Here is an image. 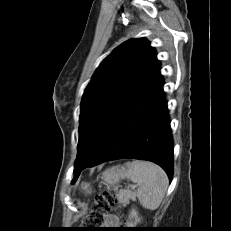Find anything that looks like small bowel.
I'll return each mask as SVG.
<instances>
[{
	"instance_id": "obj_1",
	"label": "small bowel",
	"mask_w": 231,
	"mask_h": 231,
	"mask_svg": "<svg viewBox=\"0 0 231 231\" xmlns=\"http://www.w3.org/2000/svg\"><path fill=\"white\" fill-rule=\"evenodd\" d=\"M118 224H119V217L117 215L110 214L107 216L106 222L104 223V227L105 229H112L113 227L118 226Z\"/></svg>"
}]
</instances>
